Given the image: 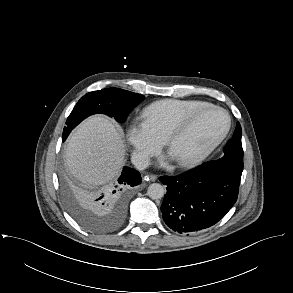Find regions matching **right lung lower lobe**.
<instances>
[{"mask_svg": "<svg viewBox=\"0 0 293 293\" xmlns=\"http://www.w3.org/2000/svg\"><path fill=\"white\" fill-rule=\"evenodd\" d=\"M141 183L140 173L132 168L124 167L118 182L108 189L98 192H82L85 202L97 214H111L115 227L109 229L112 231L118 228L125 216V191L130 186H136Z\"/></svg>", "mask_w": 293, "mask_h": 293, "instance_id": "1", "label": "right lung lower lobe"}]
</instances>
